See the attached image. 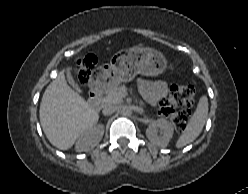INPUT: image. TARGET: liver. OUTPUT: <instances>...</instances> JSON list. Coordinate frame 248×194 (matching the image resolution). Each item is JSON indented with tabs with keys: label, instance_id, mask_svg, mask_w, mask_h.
<instances>
[{
	"label": "liver",
	"instance_id": "6515ba94",
	"mask_svg": "<svg viewBox=\"0 0 248 194\" xmlns=\"http://www.w3.org/2000/svg\"><path fill=\"white\" fill-rule=\"evenodd\" d=\"M39 118L49 142L60 150H68L98 122L99 115L67 84L62 70L43 94Z\"/></svg>",
	"mask_w": 248,
	"mask_h": 194
}]
</instances>
